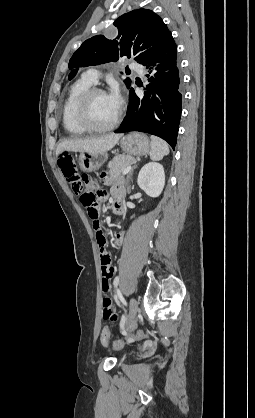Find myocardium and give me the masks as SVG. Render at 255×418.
Wrapping results in <instances>:
<instances>
[{"label": "myocardium", "instance_id": "myocardium-1", "mask_svg": "<svg viewBox=\"0 0 255 418\" xmlns=\"http://www.w3.org/2000/svg\"><path fill=\"white\" fill-rule=\"evenodd\" d=\"M96 94H106V91L99 87H91L83 93L76 109V120L78 124L88 132L104 133L114 129L121 118V112L117 111L114 120L106 126L95 125L90 117V103L93 96Z\"/></svg>", "mask_w": 255, "mask_h": 418}]
</instances>
